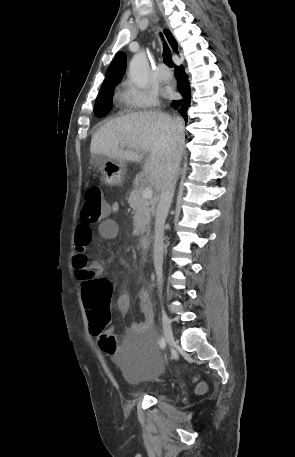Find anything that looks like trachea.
I'll return each mask as SVG.
<instances>
[{"label": "trachea", "mask_w": 295, "mask_h": 457, "mask_svg": "<svg viewBox=\"0 0 295 457\" xmlns=\"http://www.w3.org/2000/svg\"><path fill=\"white\" fill-rule=\"evenodd\" d=\"M163 61L168 67H170V68L173 67L171 51H170L167 43H165V42H164V45H163Z\"/></svg>", "instance_id": "obj_1"}]
</instances>
